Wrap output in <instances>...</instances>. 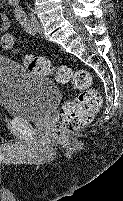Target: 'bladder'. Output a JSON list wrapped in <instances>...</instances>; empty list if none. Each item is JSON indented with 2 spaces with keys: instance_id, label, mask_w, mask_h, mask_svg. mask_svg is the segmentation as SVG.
Segmentation results:
<instances>
[{
  "instance_id": "bladder-1",
  "label": "bladder",
  "mask_w": 123,
  "mask_h": 201,
  "mask_svg": "<svg viewBox=\"0 0 123 201\" xmlns=\"http://www.w3.org/2000/svg\"><path fill=\"white\" fill-rule=\"evenodd\" d=\"M60 100L57 85L25 69L10 57L0 56V106L12 117L42 121Z\"/></svg>"
}]
</instances>
